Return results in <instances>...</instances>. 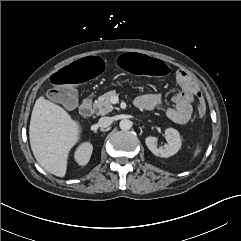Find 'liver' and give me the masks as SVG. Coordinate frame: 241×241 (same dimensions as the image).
<instances>
[{"mask_svg":"<svg viewBox=\"0 0 241 241\" xmlns=\"http://www.w3.org/2000/svg\"><path fill=\"white\" fill-rule=\"evenodd\" d=\"M79 122L59 105L39 97L32 110L29 138L34 157L49 173L64 177L71 148L79 140Z\"/></svg>","mask_w":241,"mask_h":241,"instance_id":"liver-1","label":"liver"}]
</instances>
